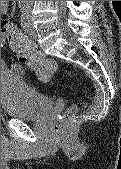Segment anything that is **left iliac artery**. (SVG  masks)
<instances>
[{"instance_id": "44dca946", "label": "left iliac artery", "mask_w": 121, "mask_h": 169, "mask_svg": "<svg viewBox=\"0 0 121 169\" xmlns=\"http://www.w3.org/2000/svg\"><path fill=\"white\" fill-rule=\"evenodd\" d=\"M21 25L24 29H26L27 26V21H28V17H29V10L26 7H22L21 9Z\"/></svg>"}]
</instances>
